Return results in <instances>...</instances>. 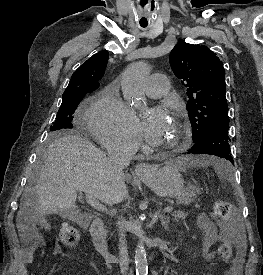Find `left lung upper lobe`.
Segmentation results:
<instances>
[{"instance_id":"obj_1","label":"left lung upper lobe","mask_w":263,"mask_h":275,"mask_svg":"<svg viewBox=\"0 0 263 275\" xmlns=\"http://www.w3.org/2000/svg\"><path fill=\"white\" fill-rule=\"evenodd\" d=\"M174 74L187 89V111L196 141L215 126L229 123L222 62L208 47L178 42L170 53Z\"/></svg>"}]
</instances>
